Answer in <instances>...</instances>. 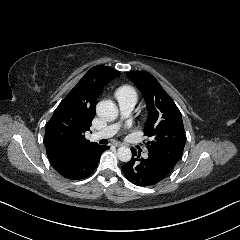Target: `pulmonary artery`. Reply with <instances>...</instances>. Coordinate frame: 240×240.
Instances as JSON below:
<instances>
[{
	"label": "pulmonary artery",
	"mask_w": 240,
	"mask_h": 240,
	"mask_svg": "<svg viewBox=\"0 0 240 240\" xmlns=\"http://www.w3.org/2000/svg\"><path fill=\"white\" fill-rule=\"evenodd\" d=\"M133 108H134L133 103L120 104V110L124 116L129 115L132 112ZM116 129H117V126L115 125L108 126L98 132L93 133L90 136V141H99V140L110 138L114 134Z\"/></svg>",
	"instance_id": "e3ab8cb5"
}]
</instances>
